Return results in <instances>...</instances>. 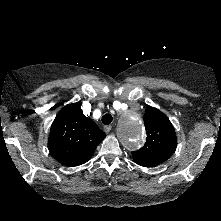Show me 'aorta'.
<instances>
[{
    "label": "aorta",
    "mask_w": 221,
    "mask_h": 221,
    "mask_svg": "<svg viewBox=\"0 0 221 221\" xmlns=\"http://www.w3.org/2000/svg\"><path fill=\"white\" fill-rule=\"evenodd\" d=\"M118 136L128 149L139 148L145 139V130L141 117L134 112L127 114L120 122Z\"/></svg>",
    "instance_id": "762f6f07"
}]
</instances>
